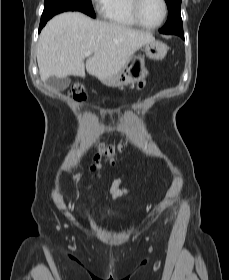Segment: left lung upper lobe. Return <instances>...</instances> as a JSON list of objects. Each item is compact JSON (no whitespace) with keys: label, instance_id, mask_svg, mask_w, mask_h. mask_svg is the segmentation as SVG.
<instances>
[{"label":"left lung upper lobe","instance_id":"left-lung-upper-lobe-1","mask_svg":"<svg viewBox=\"0 0 229 280\" xmlns=\"http://www.w3.org/2000/svg\"><path fill=\"white\" fill-rule=\"evenodd\" d=\"M168 7V19L160 29L164 34H179L183 32L182 19L180 14L181 0H165Z\"/></svg>","mask_w":229,"mask_h":280}]
</instances>
